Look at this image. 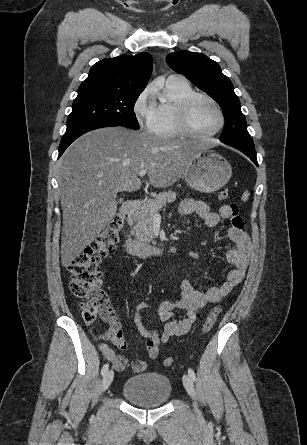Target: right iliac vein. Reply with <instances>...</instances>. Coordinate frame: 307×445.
Segmentation results:
<instances>
[{
  "mask_svg": "<svg viewBox=\"0 0 307 445\" xmlns=\"http://www.w3.org/2000/svg\"><path fill=\"white\" fill-rule=\"evenodd\" d=\"M114 372L113 370H109L104 374V377L102 379V390L105 391L109 388L113 381Z\"/></svg>",
  "mask_w": 307,
  "mask_h": 445,
  "instance_id": "63e3f726",
  "label": "right iliac vein"
}]
</instances>
